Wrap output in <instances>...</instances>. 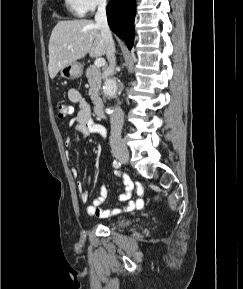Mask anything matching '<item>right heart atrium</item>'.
<instances>
[{"mask_svg": "<svg viewBox=\"0 0 243 289\" xmlns=\"http://www.w3.org/2000/svg\"><path fill=\"white\" fill-rule=\"evenodd\" d=\"M68 7L79 13L88 14L94 12L96 9L104 7L108 0H65Z\"/></svg>", "mask_w": 243, "mask_h": 289, "instance_id": "d8ad5b80", "label": "right heart atrium"}]
</instances>
